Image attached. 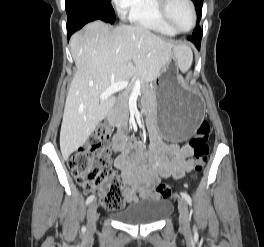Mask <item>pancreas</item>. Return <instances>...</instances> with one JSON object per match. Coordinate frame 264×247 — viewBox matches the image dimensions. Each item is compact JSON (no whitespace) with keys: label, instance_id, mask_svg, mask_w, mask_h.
I'll return each instance as SVG.
<instances>
[{"label":"pancreas","instance_id":"pancreas-1","mask_svg":"<svg viewBox=\"0 0 264 247\" xmlns=\"http://www.w3.org/2000/svg\"><path fill=\"white\" fill-rule=\"evenodd\" d=\"M133 90V85H130L126 90L119 96L117 103L113 110L114 121L119 124H126L129 119V97ZM141 91L143 94L148 96L151 100L154 99V95L151 92L149 85L141 80Z\"/></svg>","mask_w":264,"mask_h":247}]
</instances>
